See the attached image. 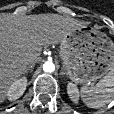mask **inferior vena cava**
<instances>
[{"label": "inferior vena cava", "instance_id": "1", "mask_svg": "<svg viewBox=\"0 0 114 114\" xmlns=\"http://www.w3.org/2000/svg\"><path fill=\"white\" fill-rule=\"evenodd\" d=\"M32 65H35V62L32 61V62H29V63H28V66H29V67H31Z\"/></svg>", "mask_w": 114, "mask_h": 114}]
</instances>
